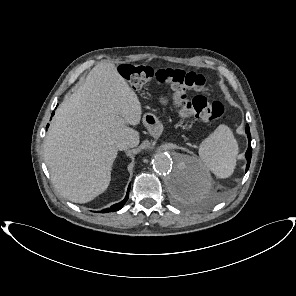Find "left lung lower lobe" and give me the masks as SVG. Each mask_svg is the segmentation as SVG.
Masks as SVG:
<instances>
[{
    "mask_svg": "<svg viewBox=\"0 0 296 296\" xmlns=\"http://www.w3.org/2000/svg\"><path fill=\"white\" fill-rule=\"evenodd\" d=\"M246 133H247V136H248V139H249L248 150H247V152L245 154V157L247 159V166H246V172H247L248 171V168L250 166V161H251V156H252L251 134H250V129H249V126L248 125L246 126ZM182 190L183 189L179 190L176 193L180 194Z\"/></svg>",
    "mask_w": 296,
    "mask_h": 296,
    "instance_id": "left-lung-lower-lobe-1",
    "label": "left lung lower lobe"
}]
</instances>
